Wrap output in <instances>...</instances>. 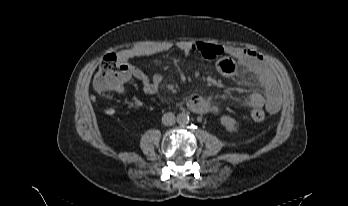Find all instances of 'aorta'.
<instances>
[{"mask_svg": "<svg viewBox=\"0 0 348 206\" xmlns=\"http://www.w3.org/2000/svg\"><path fill=\"white\" fill-rule=\"evenodd\" d=\"M176 120H177L178 124L185 125V124L189 123L190 118H189V115L187 113L183 112V113H180L177 115Z\"/></svg>", "mask_w": 348, "mask_h": 206, "instance_id": "obj_1", "label": "aorta"}]
</instances>
